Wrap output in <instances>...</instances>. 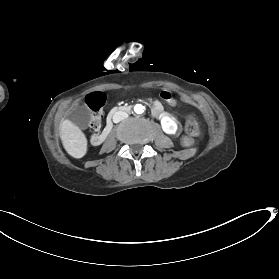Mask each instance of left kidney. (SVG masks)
I'll list each match as a JSON object with an SVG mask.
<instances>
[{
	"mask_svg": "<svg viewBox=\"0 0 279 279\" xmlns=\"http://www.w3.org/2000/svg\"><path fill=\"white\" fill-rule=\"evenodd\" d=\"M162 129L167 134H175L177 131V124L169 117H163L161 119Z\"/></svg>",
	"mask_w": 279,
	"mask_h": 279,
	"instance_id": "left-kidney-1",
	"label": "left kidney"
}]
</instances>
